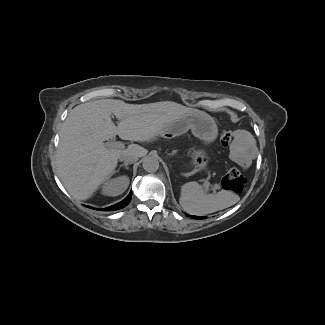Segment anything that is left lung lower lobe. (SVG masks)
<instances>
[{
  "mask_svg": "<svg viewBox=\"0 0 325 325\" xmlns=\"http://www.w3.org/2000/svg\"><path fill=\"white\" fill-rule=\"evenodd\" d=\"M192 218H195V219H204L205 217H200V216H190Z\"/></svg>",
  "mask_w": 325,
  "mask_h": 325,
  "instance_id": "obj_1",
  "label": "left lung lower lobe"
}]
</instances>
